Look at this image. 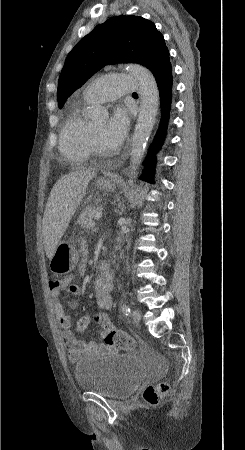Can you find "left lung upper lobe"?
Masks as SVG:
<instances>
[{
  "label": "left lung upper lobe",
  "instance_id": "5c2ea615",
  "mask_svg": "<svg viewBox=\"0 0 245 450\" xmlns=\"http://www.w3.org/2000/svg\"><path fill=\"white\" fill-rule=\"evenodd\" d=\"M169 60L163 35L142 17L118 16L100 24L68 54L58 81V106L108 64L135 62L152 73Z\"/></svg>",
  "mask_w": 245,
  "mask_h": 450
}]
</instances>
